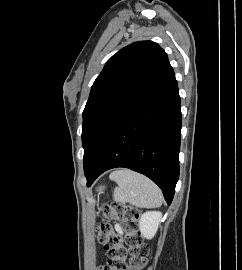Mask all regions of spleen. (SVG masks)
Returning a JSON list of instances; mask_svg holds the SVG:
<instances>
[{
  "label": "spleen",
  "instance_id": "1",
  "mask_svg": "<svg viewBox=\"0 0 242 270\" xmlns=\"http://www.w3.org/2000/svg\"><path fill=\"white\" fill-rule=\"evenodd\" d=\"M114 180L118 184L113 194L116 202H128L139 208H155L163 202L159 187L139 173L127 169L117 171Z\"/></svg>",
  "mask_w": 242,
  "mask_h": 270
}]
</instances>
